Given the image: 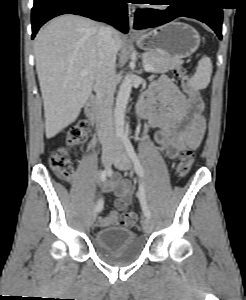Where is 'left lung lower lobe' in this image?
<instances>
[{
  "label": "left lung lower lobe",
  "instance_id": "0a47b994",
  "mask_svg": "<svg viewBox=\"0 0 246 300\" xmlns=\"http://www.w3.org/2000/svg\"><path fill=\"white\" fill-rule=\"evenodd\" d=\"M172 2L164 11L156 9L136 11L134 28L156 27L184 16L206 23L220 39L222 38L223 8L218 0H172Z\"/></svg>",
  "mask_w": 246,
  "mask_h": 300
}]
</instances>
